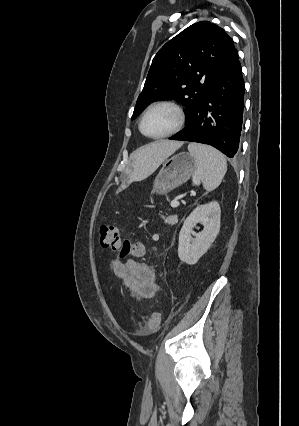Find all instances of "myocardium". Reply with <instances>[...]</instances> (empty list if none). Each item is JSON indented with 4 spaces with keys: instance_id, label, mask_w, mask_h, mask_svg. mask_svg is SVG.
<instances>
[{
    "instance_id": "f54148a6",
    "label": "myocardium",
    "mask_w": 299,
    "mask_h": 426,
    "mask_svg": "<svg viewBox=\"0 0 299 426\" xmlns=\"http://www.w3.org/2000/svg\"><path fill=\"white\" fill-rule=\"evenodd\" d=\"M163 106L170 107L171 109H173L176 112V114H177V123H176L175 127L173 129H171L170 131H168V132H166L164 134H161V135H157V136L148 135L144 131V129H143V123H144V120H145L146 116L149 114V112L151 110H153V109H155L157 107H163ZM185 122H186V114H185V111H184L183 107L179 103H177L174 100H159L157 102L152 103L145 110V112L143 113V115H142V117L140 119V122H139V130L147 138L155 139V140H157V139H163V138L170 137V136L178 133L179 131H181L182 128L184 127V125H185Z\"/></svg>"
}]
</instances>
